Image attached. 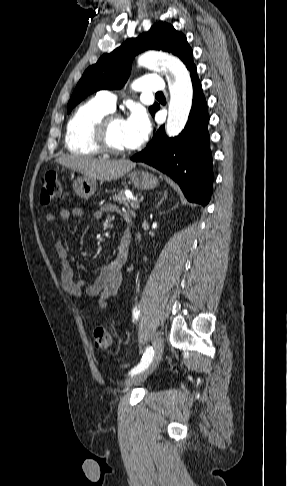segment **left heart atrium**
Returning <instances> with one entry per match:
<instances>
[{
    "instance_id": "39dd6f15",
    "label": "left heart atrium",
    "mask_w": 287,
    "mask_h": 486,
    "mask_svg": "<svg viewBox=\"0 0 287 486\" xmlns=\"http://www.w3.org/2000/svg\"><path fill=\"white\" fill-rule=\"evenodd\" d=\"M124 131L128 148L142 144L150 131V124L145 114L140 111L133 112L124 120Z\"/></svg>"
}]
</instances>
